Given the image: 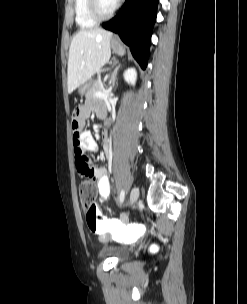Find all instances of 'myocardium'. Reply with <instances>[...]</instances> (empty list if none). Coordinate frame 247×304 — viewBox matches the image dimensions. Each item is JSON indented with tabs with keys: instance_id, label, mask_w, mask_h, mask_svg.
I'll return each mask as SVG.
<instances>
[{
	"instance_id": "f54148a6",
	"label": "myocardium",
	"mask_w": 247,
	"mask_h": 304,
	"mask_svg": "<svg viewBox=\"0 0 247 304\" xmlns=\"http://www.w3.org/2000/svg\"><path fill=\"white\" fill-rule=\"evenodd\" d=\"M89 16L96 22H101L112 18L120 6V1H117L114 8L109 13H103L99 6V0H87Z\"/></svg>"
}]
</instances>
